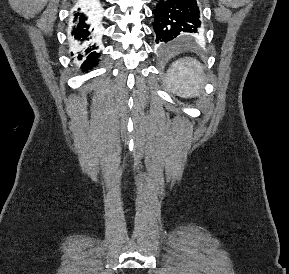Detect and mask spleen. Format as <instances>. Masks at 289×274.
<instances>
[{
    "label": "spleen",
    "instance_id": "1",
    "mask_svg": "<svg viewBox=\"0 0 289 274\" xmlns=\"http://www.w3.org/2000/svg\"><path fill=\"white\" fill-rule=\"evenodd\" d=\"M166 83L180 97L198 96L204 83L200 62L193 58L176 61L168 70Z\"/></svg>",
    "mask_w": 289,
    "mask_h": 274
}]
</instances>
